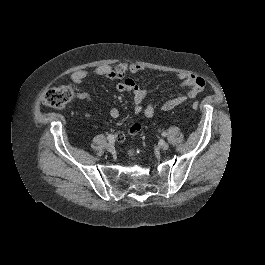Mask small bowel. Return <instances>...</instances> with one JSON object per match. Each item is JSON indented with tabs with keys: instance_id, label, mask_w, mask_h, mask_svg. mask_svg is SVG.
<instances>
[{
	"instance_id": "1",
	"label": "small bowel",
	"mask_w": 265,
	"mask_h": 265,
	"mask_svg": "<svg viewBox=\"0 0 265 265\" xmlns=\"http://www.w3.org/2000/svg\"><path fill=\"white\" fill-rule=\"evenodd\" d=\"M144 70V67L137 63H119L117 65H101L92 70H78L70 75V80L75 84H80L83 80L91 75L106 77L108 79L117 80L116 88L118 91H131L133 93L134 112L143 114L147 118H152L156 112V106L152 103L144 105L147 92L136 84L131 78L126 77L128 73L136 74ZM177 78L181 83L190 89L183 95H179L164 101L159 109L162 111H170L183 104L188 99H193L204 89L205 81L203 78L187 73H177ZM85 97V95H82ZM111 118L119 117L120 112L113 107L109 110ZM141 130V125L136 123L126 132H119L116 137L119 141L126 140L129 136L137 134Z\"/></svg>"
}]
</instances>
